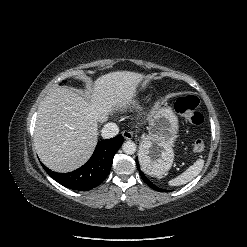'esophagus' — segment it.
<instances>
[{
	"label": "esophagus",
	"mask_w": 247,
	"mask_h": 247,
	"mask_svg": "<svg viewBox=\"0 0 247 247\" xmlns=\"http://www.w3.org/2000/svg\"><path fill=\"white\" fill-rule=\"evenodd\" d=\"M122 136L126 139V140H130L133 138V133L127 130H124L122 132Z\"/></svg>",
	"instance_id": "34e87169"
}]
</instances>
